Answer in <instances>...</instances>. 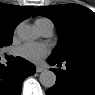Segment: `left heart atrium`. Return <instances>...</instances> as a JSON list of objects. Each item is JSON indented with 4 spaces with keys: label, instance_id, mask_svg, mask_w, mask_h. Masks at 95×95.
Segmentation results:
<instances>
[{
    "label": "left heart atrium",
    "instance_id": "obj_1",
    "mask_svg": "<svg viewBox=\"0 0 95 95\" xmlns=\"http://www.w3.org/2000/svg\"><path fill=\"white\" fill-rule=\"evenodd\" d=\"M19 55L24 59L38 63L49 53V49L44 44L26 43L19 48Z\"/></svg>",
    "mask_w": 95,
    "mask_h": 95
}]
</instances>
